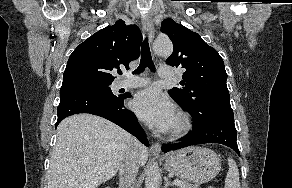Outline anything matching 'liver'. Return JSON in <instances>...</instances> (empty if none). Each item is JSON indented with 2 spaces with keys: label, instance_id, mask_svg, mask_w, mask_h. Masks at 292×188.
Instances as JSON below:
<instances>
[{
  "label": "liver",
  "instance_id": "1",
  "mask_svg": "<svg viewBox=\"0 0 292 188\" xmlns=\"http://www.w3.org/2000/svg\"><path fill=\"white\" fill-rule=\"evenodd\" d=\"M132 139L125 130L99 116L65 118L57 127L48 188H97L117 173ZM147 160V148L142 146L139 164Z\"/></svg>",
  "mask_w": 292,
  "mask_h": 188
}]
</instances>
